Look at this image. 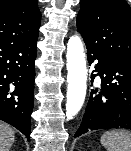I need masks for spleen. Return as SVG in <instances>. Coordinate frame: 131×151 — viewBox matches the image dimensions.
I'll list each match as a JSON object with an SVG mask.
<instances>
[{"instance_id": "obj_1", "label": "spleen", "mask_w": 131, "mask_h": 151, "mask_svg": "<svg viewBox=\"0 0 131 151\" xmlns=\"http://www.w3.org/2000/svg\"><path fill=\"white\" fill-rule=\"evenodd\" d=\"M100 142L107 151H131V133L125 130L107 131Z\"/></svg>"}]
</instances>
